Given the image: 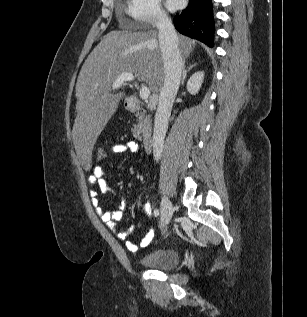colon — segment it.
Here are the masks:
<instances>
[{"label": "colon", "instance_id": "colon-1", "mask_svg": "<svg viewBox=\"0 0 307 317\" xmlns=\"http://www.w3.org/2000/svg\"><path fill=\"white\" fill-rule=\"evenodd\" d=\"M107 155H108V152L104 147H98L95 151V159L99 163L105 161L107 158Z\"/></svg>", "mask_w": 307, "mask_h": 317}]
</instances>
